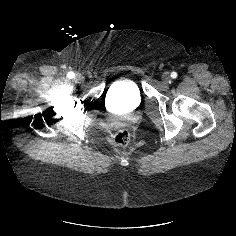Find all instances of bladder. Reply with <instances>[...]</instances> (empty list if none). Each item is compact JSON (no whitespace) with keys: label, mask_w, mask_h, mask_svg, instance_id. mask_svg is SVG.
Listing matches in <instances>:
<instances>
[{"label":"bladder","mask_w":236,"mask_h":236,"mask_svg":"<svg viewBox=\"0 0 236 236\" xmlns=\"http://www.w3.org/2000/svg\"><path fill=\"white\" fill-rule=\"evenodd\" d=\"M107 101L113 110L127 113L140 104L141 91L133 81L122 80L112 85L107 94Z\"/></svg>","instance_id":"31cf9c89"}]
</instances>
